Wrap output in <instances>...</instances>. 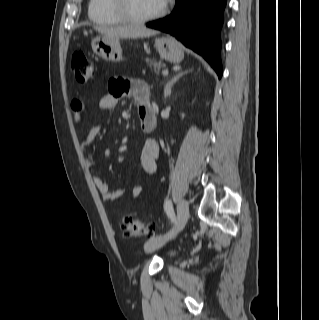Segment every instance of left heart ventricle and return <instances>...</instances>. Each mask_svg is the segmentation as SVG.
I'll return each instance as SVG.
<instances>
[{
	"mask_svg": "<svg viewBox=\"0 0 319 320\" xmlns=\"http://www.w3.org/2000/svg\"><path fill=\"white\" fill-rule=\"evenodd\" d=\"M132 12L138 16H148L158 11L162 5L159 0H129Z\"/></svg>",
	"mask_w": 319,
	"mask_h": 320,
	"instance_id": "1",
	"label": "left heart ventricle"
}]
</instances>
